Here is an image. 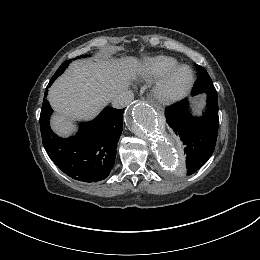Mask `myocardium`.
<instances>
[{"label": "myocardium", "mask_w": 260, "mask_h": 260, "mask_svg": "<svg viewBox=\"0 0 260 260\" xmlns=\"http://www.w3.org/2000/svg\"><path fill=\"white\" fill-rule=\"evenodd\" d=\"M188 69L190 73V78L188 82L181 87L172 86V78L174 74L180 69ZM194 71L187 64H176L175 66L168 69L164 74H162L159 80L156 82L153 93L155 97L162 101H175L182 98L192 87L194 83Z\"/></svg>", "instance_id": "1"}]
</instances>
